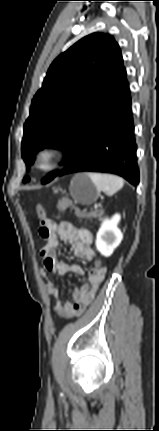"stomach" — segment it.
Returning <instances> with one entry per match:
<instances>
[{"label": "stomach", "mask_w": 159, "mask_h": 431, "mask_svg": "<svg viewBox=\"0 0 159 431\" xmlns=\"http://www.w3.org/2000/svg\"><path fill=\"white\" fill-rule=\"evenodd\" d=\"M70 190L73 199L83 205L94 203L99 194V190L87 173L77 174L71 182Z\"/></svg>", "instance_id": "1"}]
</instances>
